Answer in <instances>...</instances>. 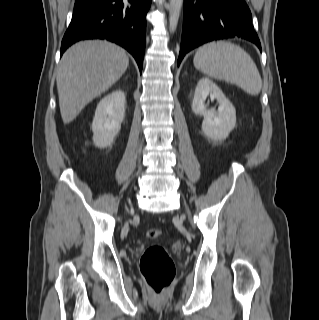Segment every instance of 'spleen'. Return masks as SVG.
Masks as SVG:
<instances>
[{"label":"spleen","mask_w":319,"mask_h":320,"mask_svg":"<svg viewBox=\"0 0 319 320\" xmlns=\"http://www.w3.org/2000/svg\"><path fill=\"white\" fill-rule=\"evenodd\" d=\"M193 62L202 73L233 83L250 95L261 92L262 79L257 66L238 45L227 41L206 43L196 51Z\"/></svg>","instance_id":"3e777b00"}]
</instances>
